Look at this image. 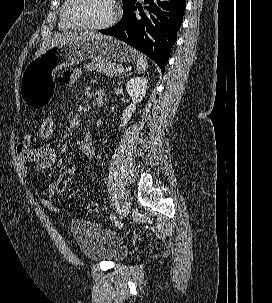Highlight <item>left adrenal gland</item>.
I'll list each match as a JSON object with an SVG mask.
<instances>
[{"instance_id": "obj_1", "label": "left adrenal gland", "mask_w": 272, "mask_h": 303, "mask_svg": "<svg viewBox=\"0 0 272 303\" xmlns=\"http://www.w3.org/2000/svg\"><path fill=\"white\" fill-rule=\"evenodd\" d=\"M130 73H125V74H123V76H122V78H124L125 76H128Z\"/></svg>"}]
</instances>
